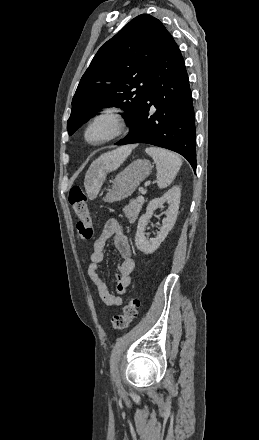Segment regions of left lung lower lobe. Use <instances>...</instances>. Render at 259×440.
I'll use <instances>...</instances> for the list:
<instances>
[{"label": "left lung lower lobe", "instance_id": "0a47b994", "mask_svg": "<svg viewBox=\"0 0 259 440\" xmlns=\"http://www.w3.org/2000/svg\"><path fill=\"white\" fill-rule=\"evenodd\" d=\"M151 107L155 108L150 115ZM117 145L148 143L184 156L196 170L195 120L189 79L171 35L156 63L142 108Z\"/></svg>", "mask_w": 259, "mask_h": 440}]
</instances>
